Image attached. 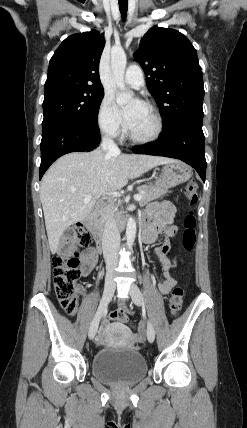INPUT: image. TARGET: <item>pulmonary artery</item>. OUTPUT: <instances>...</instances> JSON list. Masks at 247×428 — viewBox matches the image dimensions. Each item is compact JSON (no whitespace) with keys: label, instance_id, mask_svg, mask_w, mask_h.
<instances>
[{"label":"pulmonary artery","instance_id":"obj_1","mask_svg":"<svg viewBox=\"0 0 247 428\" xmlns=\"http://www.w3.org/2000/svg\"><path fill=\"white\" fill-rule=\"evenodd\" d=\"M124 82L132 88H139L144 84L142 70L137 65L129 66L124 75Z\"/></svg>","mask_w":247,"mask_h":428}]
</instances>
